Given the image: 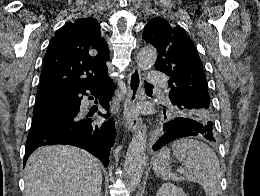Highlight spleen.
Returning <instances> with one entry per match:
<instances>
[{
    "instance_id": "obj_1",
    "label": "spleen",
    "mask_w": 260,
    "mask_h": 196,
    "mask_svg": "<svg viewBox=\"0 0 260 196\" xmlns=\"http://www.w3.org/2000/svg\"><path fill=\"white\" fill-rule=\"evenodd\" d=\"M173 156L181 162L183 168L187 170L183 176L173 174L170 164L169 148H162L157 154L153 172L162 180H189L197 182L202 186L206 196H217L220 190L221 170L219 160L212 148L199 142V140H190L182 138L172 144Z\"/></svg>"
}]
</instances>
